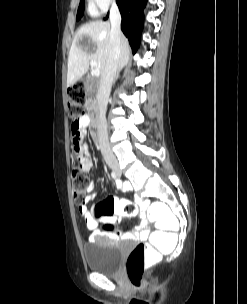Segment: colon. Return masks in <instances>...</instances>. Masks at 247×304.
<instances>
[{"label":"colon","mask_w":247,"mask_h":304,"mask_svg":"<svg viewBox=\"0 0 247 304\" xmlns=\"http://www.w3.org/2000/svg\"><path fill=\"white\" fill-rule=\"evenodd\" d=\"M86 92L82 83H76L68 89V113L73 122H78L84 112ZM72 190L76 204H83L87 187L88 175L76 165L73 169ZM149 225H154V234L150 243H139L129 254L126 262V272L130 283L134 287H140L143 282L144 270L155 259H159V253H173L174 244H177L178 230L181 225L177 214H172L167 202H151L149 208ZM138 212L136 205L125 200L106 198L98 203L94 209V217L101 219L115 214L135 216ZM111 231L115 226L108 223Z\"/></svg>","instance_id":"colon-1"}]
</instances>
